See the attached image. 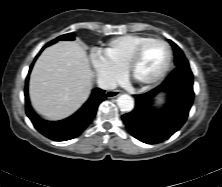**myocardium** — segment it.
Masks as SVG:
<instances>
[{
	"mask_svg": "<svg viewBox=\"0 0 222 187\" xmlns=\"http://www.w3.org/2000/svg\"><path fill=\"white\" fill-rule=\"evenodd\" d=\"M154 41L161 42L162 44H164L166 46L167 52H168L166 64H165L163 70L155 78L148 80V81H138V80L134 79V77H133L134 69H135L138 61L141 58L144 48L149 43L154 42ZM172 59H173V51H172L171 45L166 40H164L163 38H160V37H149L146 40H144L143 42H141L135 48V50L133 51V53L131 54L129 60L127 61L126 65H125L124 72H125V75L127 76V78L130 79L135 84L142 86V87H152V86L158 84L166 76V74L171 66Z\"/></svg>",
	"mask_w": 222,
	"mask_h": 187,
	"instance_id": "f54148a6",
	"label": "myocardium"
}]
</instances>
